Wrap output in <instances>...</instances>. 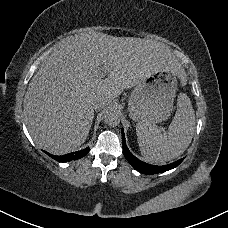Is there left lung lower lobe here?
<instances>
[{
    "label": "left lung lower lobe",
    "mask_w": 228,
    "mask_h": 228,
    "mask_svg": "<svg viewBox=\"0 0 228 228\" xmlns=\"http://www.w3.org/2000/svg\"><path fill=\"white\" fill-rule=\"evenodd\" d=\"M122 140H123V153L127 159V161L139 172L147 174V175H152V174H157V173H162L168 170H171L175 167H177L184 158L179 159L173 163L163 165V166H156V165H151L145 162H142L138 158H136L127 148L126 143H125V137H124V131L122 130Z\"/></svg>",
    "instance_id": "0a47b994"
}]
</instances>
